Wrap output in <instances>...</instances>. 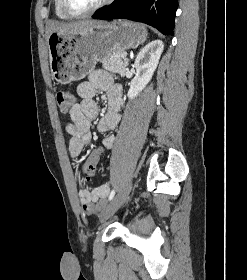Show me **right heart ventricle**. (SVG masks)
<instances>
[{
    "label": "right heart ventricle",
    "mask_w": 247,
    "mask_h": 280,
    "mask_svg": "<svg viewBox=\"0 0 247 280\" xmlns=\"http://www.w3.org/2000/svg\"><path fill=\"white\" fill-rule=\"evenodd\" d=\"M54 9L55 14L59 19L68 20L70 18L63 12L61 8V0H54Z\"/></svg>",
    "instance_id": "1"
}]
</instances>
